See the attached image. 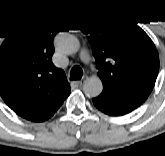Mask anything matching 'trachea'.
Returning a JSON list of instances; mask_svg holds the SVG:
<instances>
[{
  "label": "trachea",
  "mask_w": 165,
  "mask_h": 156,
  "mask_svg": "<svg viewBox=\"0 0 165 156\" xmlns=\"http://www.w3.org/2000/svg\"><path fill=\"white\" fill-rule=\"evenodd\" d=\"M71 80H79L83 75V71L79 66H74L70 72Z\"/></svg>",
  "instance_id": "3493384b"
}]
</instances>
